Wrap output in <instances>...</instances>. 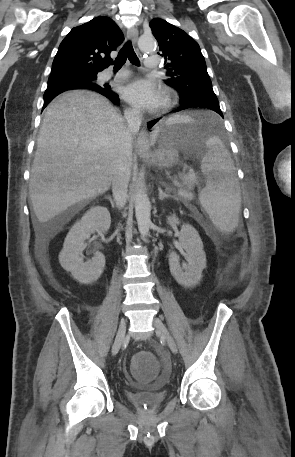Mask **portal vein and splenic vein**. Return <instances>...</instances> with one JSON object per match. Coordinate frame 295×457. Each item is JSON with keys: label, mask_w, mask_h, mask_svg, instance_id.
Returning <instances> with one entry per match:
<instances>
[{"label": "portal vein and splenic vein", "mask_w": 295, "mask_h": 457, "mask_svg": "<svg viewBox=\"0 0 295 457\" xmlns=\"http://www.w3.org/2000/svg\"><path fill=\"white\" fill-rule=\"evenodd\" d=\"M186 178L192 182H196L197 181V177L195 175V172L193 169H190L189 172L187 173L186 175Z\"/></svg>", "instance_id": "1"}]
</instances>
